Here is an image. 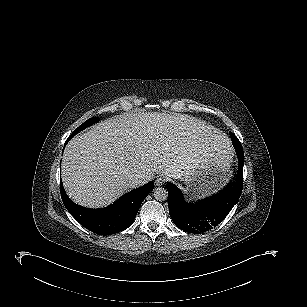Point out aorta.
<instances>
[{
    "label": "aorta",
    "mask_w": 307,
    "mask_h": 307,
    "mask_svg": "<svg viewBox=\"0 0 307 307\" xmlns=\"http://www.w3.org/2000/svg\"><path fill=\"white\" fill-rule=\"evenodd\" d=\"M154 197L157 201H166L168 199V191L165 188L158 187L154 190Z\"/></svg>",
    "instance_id": "762f6f07"
}]
</instances>
